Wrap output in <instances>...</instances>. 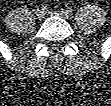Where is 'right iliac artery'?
Listing matches in <instances>:
<instances>
[{"label": "right iliac artery", "mask_w": 111, "mask_h": 106, "mask_svg": "<svg viewBox=\"0 0 111 106\" xmlns=\"http://www.w3.org/2000/svg\"><path fill=\"white\" fill-rule=\"evenodd\" d=\"M41 10L44 11V12H46V11L49 10V7H48L47 5H43V6L41 7Z\"/></svg>", "instance_id": "right-iliac-artery-1"}]
</instances>
